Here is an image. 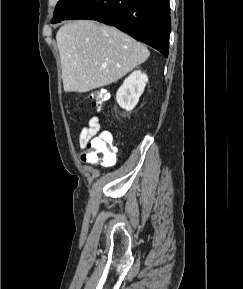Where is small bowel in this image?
I'll list each match as a JSON object with an SVG mask.
<instances>
[{
	"mask_svg": "<svg viewBox=\"0 0 243 289\" xmlns=\"http://www.w3.org/2000/svg\"><path fill=\"white\" fill-rule=\"evenodd\" d=\"M103 132L99 118L97 116H92L88 124L84 126L79 133L80 148L85 149L90 141Z\"/></svg>",
	"mask_w": 243,
	"mask_h": 289,
	"instance_id": "obj_1",
	"label": "small bowel"
}]
</instances>
